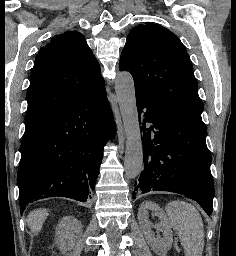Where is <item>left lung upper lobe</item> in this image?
<instances>
[{"label": "left lung upper lobe", "mask_w": 236, "mask_h": 256, "mask_svg": "<svg viewBox=\"0 0 236 256\" xmlns=\"http://www.w3.org/2000/svg\"><path fill=\"white\" fill-rule=\"evenodd\" d=\"M129 71L135 93L202 119L203 103L192 63L181 41L157 24H140L127 37L119 63Z\"/></svg>", "instance_id": "left-lung-upper-lobe-1"}]
</instances>
